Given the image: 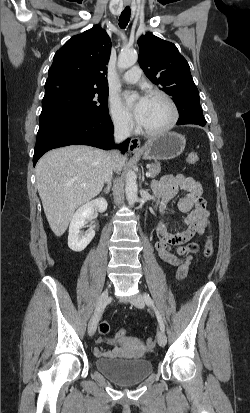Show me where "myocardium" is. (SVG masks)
Returning <instances> with one entry per match:
<instances>
[{
	"label": "myocardium",
	"instance_id": "obj_1",
	"mask_svg": "<svg viewBox=\"0 0 250 413\" xmlns=\"http://www.w3.org/2000/svg\"><path fill=\"white\" fill-rule=\"evenodd\" d=\"M149 97L159 98V99H162L163 101H165L171 109V119H170L169 123L166 126H164L163 128H160V129H157V130H149V129H146V128H144L140 125L139 130L144 135L150 136V137H157V136L164 135V134L168 133L169 131H171L175 127V125H176V123L179 119L178 107L175 104L174 100L168 94H166L163 91L153 90L149 93Z\"/></svg>",
	"mask_w": 250,
	"mask_h": 413
}]
</instances>
